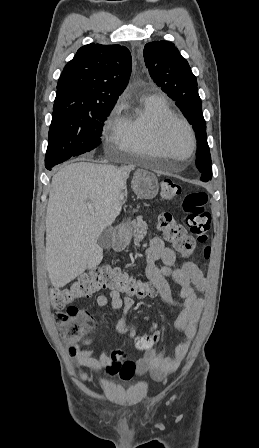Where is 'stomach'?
Instances as JSON below:
<instances>
[{
	"mask_svg": "<svg viewBox=\"0 0 259 448\" xmlns=\"http://www.w3.org/2000/svg\"><path fill=\"white\" fill-rule=\"evenodd\" d=\"M133 236V232L129 226V224H122L120 228V238L125 240V242H129Z\"/></svg>",
	"mask_w": 259,
	"mask_h": 448,
	"instance_id": "1",
	"label": "stomach"
}]
</instances>
